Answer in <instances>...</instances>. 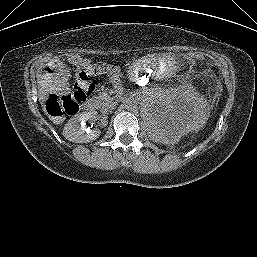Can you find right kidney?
Returning <instances> with one entry per match:
<instances>
[{
  "label": "right kidney",
  "mask_w": 257,
  "mask_h": 257,
  "mask_svg": "<svg viewBox=\"0 0 257 257\" xmlns=\"http://www.w3.org/2000/svg\"><path fill=\"white\" fill-rule=\"evenodd\" d=\"M93 112H82L72 117L63 129V136L74 143H88L97 139L101 131L86 127L87 121H93Z\"/></svg>",
  "instance_id": "obj_1"
}]
</instances>
